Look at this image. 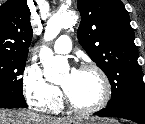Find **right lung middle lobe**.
Listing matches in <instances>:
<instances>
[{"mask_svg":"<svg viewBox=\"0 0 145 124\" xmlns=\"http://www.w3.org/2000/svg\"><path fill=\"white\" fill-rule=\"evenodd\" d=\"M26 57L0 56V93H23L20 75L25 69Z\"/></svg>","mask_w":145,"mask_h":124,"instance_id":"dd1d6c3e","label":"right lung middle lobe"}]
</instances>
